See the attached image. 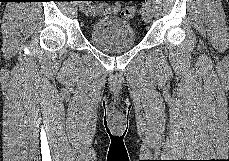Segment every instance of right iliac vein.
Wrapping results in <instances>:
<instances>
[{
	"mask_svg": "<svg viewBox=\"0 0 229 161\" xmlns=\"http://www.w3.org/2000/svg\"><path fill=\"white\" fill-rule=\"evenodd\" d=\"M80 10H81V12L85 13V11H86V4H84V3L80 4Z\"/></svg>",
	"mask_w": 229,
	"mask_h": 161,
	"instance_id": "1",
	"label": "right iliac vein"
}]
</instances>
